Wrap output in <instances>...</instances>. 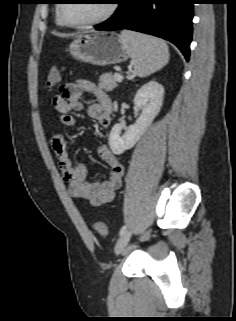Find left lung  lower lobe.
<instances>
[{
    "label": "left lung lower lobe",
    "mask_w": 236,
    "mask_h": 321,
    "mask_svg": "<svg viewBox=\"0 0 236 321\" xmlns=\"http://www.w3.org/2000/svg\"><path fill=\"white\" fill-rule=\"evenodd\" d=\"M121 6L97 30L129 29L176 45L189 60L195 0H117Z\"/></svg>",
    "instance_id": "1"
}]
</instances>
